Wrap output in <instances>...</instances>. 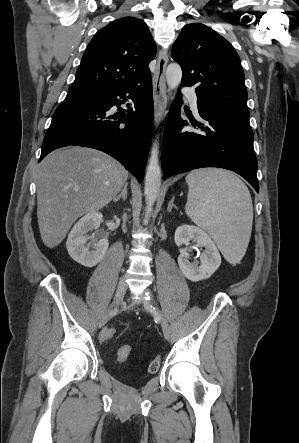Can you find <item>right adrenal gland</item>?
<instances>
[{
  "label": "right adrenal gland",
  "instance_id": "1",
  "mask_svg": "<svg viewBox=\"0 0 299 443\" xmlns=\"http://www.w3.org/2000/svg\"><path fill=\"white\" fill-rule=\"evenodd\" d=\"M127 187H128V183L126 182L125 185H124L123 190L121 191V193H120L118 196H116V197L113 199V202H117V201H119V200H121V199H122L123 201L126 200V198H127Z\"/></svg>",
  "mask_w": 299,
  "mask_h": 443
}]
</instances>
